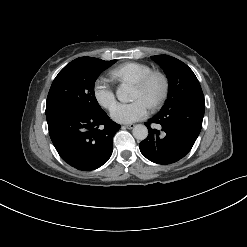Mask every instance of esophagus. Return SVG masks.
Returning a JSON list of instances; mask_svg holds the SVG:
<instances>
[{
	"label": "esophagus",
	"mask_w": 247,
	"mask_h": 247,
	"mask_svg": "<svg viewBox=\"0 0 247 247\" xmlns=\"http://www.w3.org/2000/svg\"><path fill=\"white\" fill-rule=\"evenodd\" d=\"M123 127L127 128V129H132L135 127V125L134 124H127V125H124Z\"/></svg>",
	"instance_id": "1"
}]
</instances>
